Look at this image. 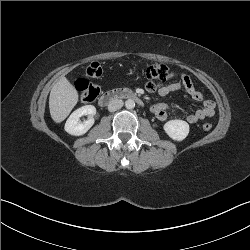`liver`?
I'll return each instance as SVG.
<instances>
[{
	"label": "liver",
	"instance_id": "1",
	"mask_svg": "<svg viewBox=\"0 0 250 250\" xmlns=\"http://www.w3.org/2000/svg\"><path fill=\"white\" fill-rule=\"evenodd\" d=\"M78 102V93L73 85L64 76L54 84L49 96L51 118L61 123L70 114Z\"/></svg>",
	"mask_w": 250,
	"mask_h": 250
}]
</instances>
